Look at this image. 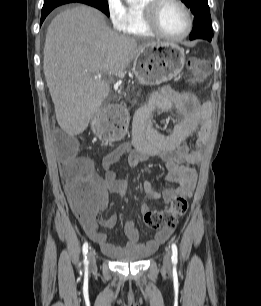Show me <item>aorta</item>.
Listing matches in <instances>:
<instances>
[{
	"label": "aorta",
	"instance_id": "obj_1",
	"mask_svg": "<svg viewBox=\"0 0 261 306\" xmlns=\"http://www.w3.org/2000/svg\"><path fill=\"white\" fill-rule=\"evenodd\" d=\"M129 4H133L135 2H137V0H126Z\"/></svg>",
	"mask_w": 261,
	"mask_h": 306
}]
</instances>
